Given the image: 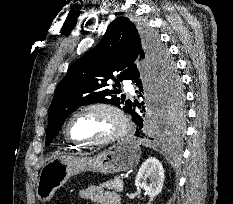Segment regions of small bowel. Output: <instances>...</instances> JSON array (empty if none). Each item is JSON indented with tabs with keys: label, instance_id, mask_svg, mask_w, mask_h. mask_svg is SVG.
<instances>
[{
	"label": "small bowel",
	"instance_id": "c3829d8e",
	"mask_svg": "<svg viewBox=\"0 0 233 204\" xmlns=\"http://www.w3.org/2000/svg\"><path fill=\"white\" fill-rule=\"evenodd\" d=\"M83 199L90 200L96 204H120V197L113 191H106L98 186H90L80 193Z\"/></svg>",
	"mask_w": 233,
	"mask_h": 204
}]
</instances>
